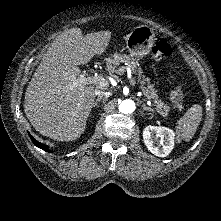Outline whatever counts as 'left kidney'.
I'll return each instance as SVG.
<instances>
[{
    "label": "left kidney",
    "mask_w": 221,
    "mask_h": 221,
    "mask_svg": "<svg viewBox=\"0 0 221 221\" xmlns=\"http://www.w3.org/2000/svg\"><path fill=\"white\" fill-rule=\"evenodd\" d=\"M175 134L167 127L147 126L143 140L148 150L158 157H166L174 147Z\"/></svg>",
    "instance_id": "left-kidney-1"
}]
</instances>
